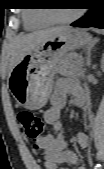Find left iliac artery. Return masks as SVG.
I'll return each mask as SVG.
<instances>
[{
    "label": "left iliac artery",
    "mask_w": 104,
    "mask_h": 169,
    "mask_svg": "<svg viewBox=\"0 0 104 169\" xmlns=\"http://www.w3.org/2000/svg\"><path fill=\"white\" fill-rule=\"evenodd\" d=\"M95 169H101V165H100V164H97V165L95 166Z\"/></svg>",
    "instance_id": "44dca946"
}]
</instances>
